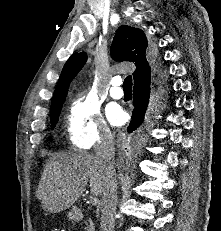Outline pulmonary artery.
Segmentation results:
<instances>
[{"label": "pulmonary artery", "instance_id": "obj_1", "mask_svg": "<svg viewBox=\"0 0 221 231\" xmlns=\"http://www.w3.org/2000/svg\"><path fill=\"white\" fill-rule=\"evenodd\" d=\"M121 82L122 80L119 76L114 77L112 79V82H111L112 86L110 88L109 93H110V96L114 99H121L123 97V90L120 87Z\"/></svg>", "mask_w": 221, "mask_h": 231}]
</instances>
